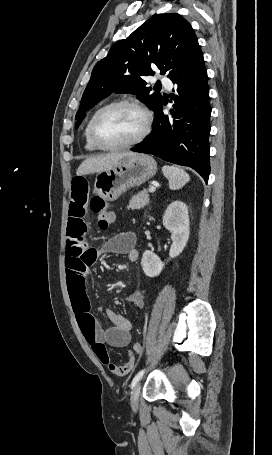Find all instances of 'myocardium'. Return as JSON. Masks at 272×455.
Instances as JSON below:
<instances>
[{"instance_id": "obj_1", "label": "myocardium", "mask_w": 272, "mask_h": 455, "mask_svg": "<svg viewBox=\"0 0 272 455\" xmlns=\"http://www.w3.org/2000/svg\"><path fill=\"white\" fill-rule=\"evenodd\" d=\"M122 105H127L135 108L137 111L140 112L143 118V127L141 132L132 140L117 144V145H107L102 143L96 136L95 132V126L98 118L100 115L105 112L106 110L116 107V106H122ZM151 129V115L150 112L147 110L146 107H144L140 102H138L135 99L132 98H120L113 100L101 108H99L94 115L92 116L89 125H88V133H89V138L91 143L98 149V150H103V151H118V150H124L128 149L131 147H134L141 142L145 140V138L148 136L149 132Z\"/></svg>"}]
</instances>
